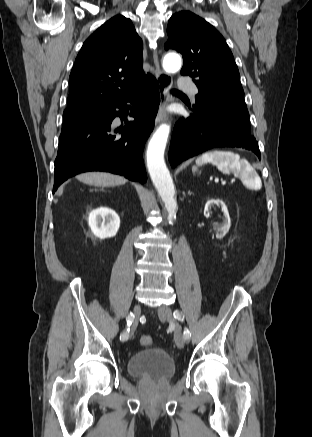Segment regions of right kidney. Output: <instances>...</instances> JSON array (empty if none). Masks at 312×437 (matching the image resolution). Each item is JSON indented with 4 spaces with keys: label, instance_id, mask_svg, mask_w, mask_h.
Instances as JSON below:
<instances>
[{
    "label": "right kidney",
    "instance_id": "1",
    "mask_svg": "<svg viewBox=\"0 0 312 437\" xmlns=\"http://www.w3.org/2000/svg\"><path fill=\"white\" fill-rule=\"evenodd\" d=\"M88 225L92 233L100 238L114 237L120 227V218L112 209L100 207L90 212Z\"/></svg>",
    "mask_w": 312,
    "mask_h": 437
}]
</instances>
